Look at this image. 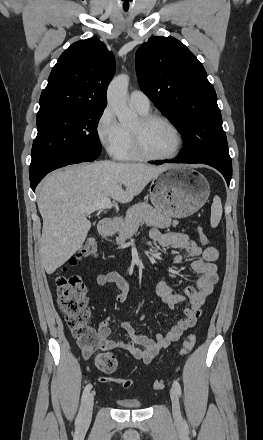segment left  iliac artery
I'll return each instance as SVG.
<instances>
[{
    "mask_svg": "<svg viewBox=\"0 0 263 440\" xmlns=\"http://www.w3.org/2000/svg\"><path fill=\"white\" fill-rule=\"evenodd\" d=\"M173 386H174V388H175L177 394H178L179 396H181V394H182V392H181V386H180V384H179V382H178L177 380H174V382H173Z\"/></svg>",
    "mask_w": 263,
    "mask_h": 440,
    "instance_id": "obj_1",
    "label": "left iliac artery"
}]
</instances>
